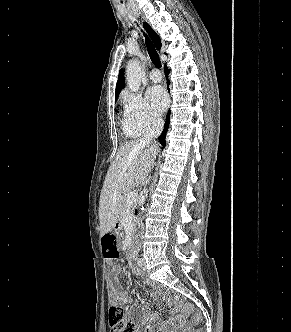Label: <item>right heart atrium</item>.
<instances>
[{
	"mask_svg": "<svg viewBox=\"0 0 291 332\" xmlns=\"http://www.w3.org/2000/svg\"><path fill=\"white\" fill-rule=\"evenodd\" d=\"M125 123L139 134L152 131L160 126V119L152 112L141 94L125 92Z\"/></svg>",
	"mask_w": 291,
	"mask_h": 332,
	"instance_id": "obj_1",
	"label": "right heart atrium"
}]
</instances>
